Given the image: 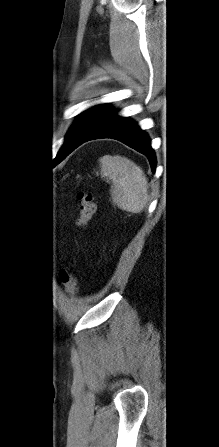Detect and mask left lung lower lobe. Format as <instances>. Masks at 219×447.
I'll return each mask as SVG.
<instances>
[{"label": "left lung lower lobe", "instance_id": "1", "mask_svg": "<svg viewBox=\"0 0 219 447\" xmlns=\"http://www.w3.org/2000/svg\"><path fill=\"white\" fill-rule=\"evenodd\" d=\"M116 113L117 111L111 112L97 130L82 141L73 144L61 156L56 157L54 163L58 164L75 148L86 141L98 138H112L117 139L138 152L146 155L150 162L152 171L155 172V154L151 148L150 139L148 138L147 134L141 130L135 122L126 117L118 116Z\"/></svg>", "mask_w": 219, "mask_h": 447}]
</instances>
